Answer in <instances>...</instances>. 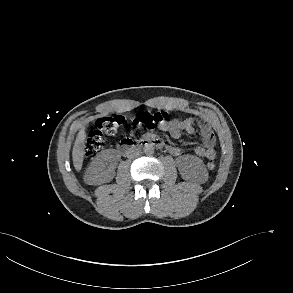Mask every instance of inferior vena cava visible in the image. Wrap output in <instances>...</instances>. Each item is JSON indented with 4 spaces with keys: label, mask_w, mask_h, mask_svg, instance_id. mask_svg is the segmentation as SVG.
Returning a JSON list of instances; mask_svg holds the SVG:
<instances>
[{
    "label": "inferior vena cava",
    "mask_w": 293,
    "mask_h": 293,
    "mask_svg": "<svg viewBox=\"0 0 293 293\" xmlns=\"http://www.w3.org/2000/svg\"><path fill=\"white\" fill-rule=\"evenodd\" d=\"M141 149L139 147H133L132 149H130V151L128 152V157L130 158H135L138 157L141 154Z\"/></svg>",
    "instance_id": "obj_1"
}]
</instances>
